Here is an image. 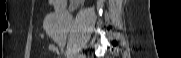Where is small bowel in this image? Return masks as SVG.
<instances>
[{
  "mask_svg": "<svg viewBox=\"0 0 181 58\" xmlns=\"http://www.w3.org/2000/svg\"><path fill=\"white\" fill-rule=\"evenodd\" d=\"M54 7H55V5H54ZM49 51L52 52V53H55L56 55H58L60 53L59 48L55 44H50L49 45Z\"/></svg>",
  "mask_w": 181,
  "mask_h": 58,
  "instance_id": "obj_1",
  "label": "small bowel"
}]
</instances>
